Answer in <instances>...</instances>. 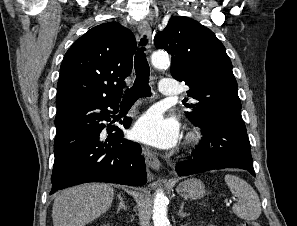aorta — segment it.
<instances>
[{
  "label": "aorta",
  "mask_w": 297,
  "mask_h": 226,
  "mask_svg": "<svg viewBox=\"0 0 297 226\" xmlns=\"http://www.w3.org/2000/svg\"><path fill=\"white\" fill-rule=\"evenodd\" d=\"M152 65L156 68L163 69L170 65V59L165 52H154L151 56ZM154 226H168L167 219V197L163 191H158L154 198L153 207Z\"/></svg>",
  "instance_id": "aorta-1"
}]
</instances>
